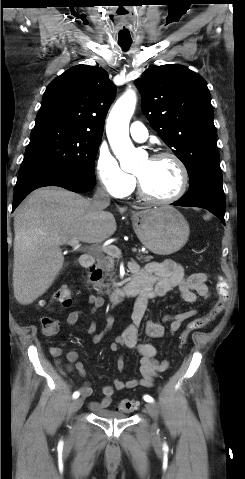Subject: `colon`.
Returning a JSON list of instances; mask_svg holds the SVG:
<instances>
[{
	"instance_id": "5ec220e1",
	"label": "colon",
	"mask_w": 245,
	"mask_h": 479,
	"mask_svg": "<svg viewBox=\"0 0 245 479\" xmlns=\"http://www.w3.org/2000/svg\"><path fill=\"white\" fill-rule=\"evenodd\" d=\"M218 299L212 308L203 316L191 320L183 329L179 336L181 346L187 344L189 336L192 332L202 329L213 322L216 317L224 309L225 303L228 299V290L224 281H219L216 287ZM73 301V293L69 286L62 285L54 293L49 303L41 302L42 307H47L51 310L67 309L71 306ZM42 331L45 335H55L59 330V322L57 319L44 316L41 319ZM137 407V403L131 399H122L118 403V409L124 413H130Z\"/></svg>"
}]
</instances>
